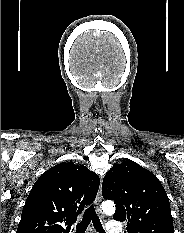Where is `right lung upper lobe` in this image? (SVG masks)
Listing matches in <instances>:
<instances>
[{
    "mask_svg": "<svg viewBox=\"0 0 184 233\" xmlns=\"http://www.w3.org/2000/svg\"><path fill=\"white\" fill-rule=\"evenodd\" d=\"M99 185L98 175L83 165L67 161L51 167L33 185L16 233H69Z\"/></svg>",
    "mask_w": 184,
    "mask_h": 233,
    "instance_id": "1",
    "label": "right lung upper lobe"
}]
</instances>
